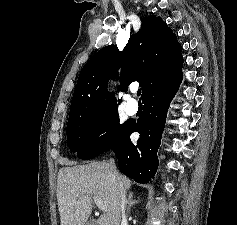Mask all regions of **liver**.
Segmentation results:
<instances>
[{
  "label": "liver",
  "mask_w": 237,
  "mask_h": 225,
  "mask_svg": "<svg viewBox=\"0 0 237 225\" xmlns=\"http://www.w3.org/2000/svg\"><path fill=\"white\" fill-rule=\"evenodd\" d=\"M130 187L128 178L121 174L118 178L113 175L108 162L62 167L57 179L61 225H85L92 212L91 196L97 197L106 206L96 225H120L118 190L122 188L126 192Z\"/></svg>",
  "instance_id": "obj_1"
}]
</instances>
